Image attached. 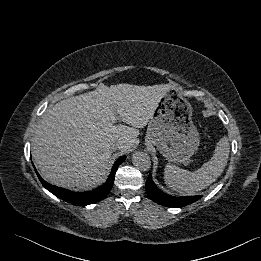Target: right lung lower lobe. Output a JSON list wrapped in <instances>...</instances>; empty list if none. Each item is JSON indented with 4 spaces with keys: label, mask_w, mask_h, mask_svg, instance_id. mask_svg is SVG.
<instances>
[{
    "label": "right lung lower lobe",
    "mask_w": 261,
    "mask_h": 261,
    "mask_svg": "<svg viewBox=\"0 0 261 261\" xmlns=\"http://www.w3.org/2000/svg\"><path fill=\"white\" fill-rule=\"evenodd\" d=\"M125 159H126V157L122 156L115 162V164L113 165V167L111 169L109 178L107 179L105 184H103L102 186H100L99 188H97L93 191H88V192L75 193V192L69 191L67 189L51 185V184L47 183L46 181H44L41 178V176L38 174L37 171H36V173H37L38 178L40 179L42 185L47 190H49L51 193H53L55 196L65 200L69 203L85 206L88 204L98 202V201L104 199L108 195V193L110 192V190L113 186L115 173H116L119 165L122 164Z\"/></svg>",
    "instance_id": "98d812e1"
}]
</instances>
